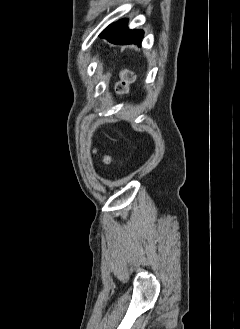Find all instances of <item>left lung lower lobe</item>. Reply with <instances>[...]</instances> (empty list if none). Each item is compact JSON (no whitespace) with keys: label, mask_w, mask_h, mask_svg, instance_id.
<instances>
[{"label":"left lung lower lobe","mask_w":240,"mask_h":329,"mask_svg":"<svg viewBox=\"0 0 240 329\" xmlns=\"http://www.w3.org/2000/svg\"><path fill=\"white\" fill-rule=\"evenodd\" d=\"M128 20L122 19L111 24L99 35L114 44H137L142 41V30H129L127 27Z\"/></svg>","instance_id":"1"}]
</instances>
